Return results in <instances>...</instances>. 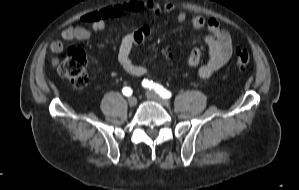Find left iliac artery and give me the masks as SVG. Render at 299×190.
I'll list each match as a JSON object with an SVG mask.
<instances>
[{
  "mask_svg": "<svg viewBox=\"0 0 299 190\" xmlns=\"http://www.w3.org/2000/svg\"><path fill=\"white\" fill-rule=\"evenodd\" d=\"M142 85L144 87L149 88L150 90H154L156 93H158L162 98H170L171 92L167 91L165 88H163L161 85L153 83L152 81H149L148 79H144L142 81Z\"/></svg>",
  "mask_w": 299,
  "mask_h": 190,
  "instance_id": "44dca946",
  "label": "left iliac artery"
}]
</instances>
